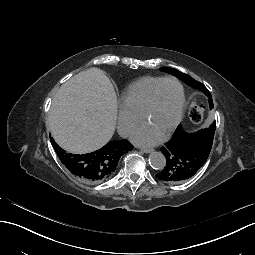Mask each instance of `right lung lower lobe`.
Returning a JSON list of instances; mask_svg holds the SVG:
<instances>
[{
	"mask_svg": "<svg viewBox=\"0 0 255 255\" xmlns=\"http://www.w3.org/2000/svg\"><path fill=\"white\" fill-rule=\"evenodd\" d=\"M83 178L85 180H92L94 177L100 175V159L91 155L83 157Z\"/></svg>",
	"mask_w": 255,
	"mask_h": 255,
	"instance_id": "obj_1",
	"label": "right lung lower lobe"
}]
</instances>
